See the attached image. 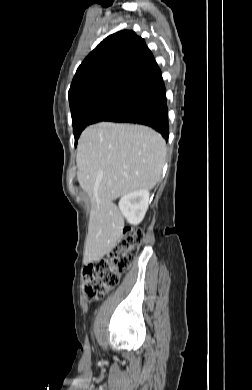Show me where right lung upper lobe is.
<instances>
[{
    "instance_id": "obj_1",
    "label": "right lung upper lobe",
    "mask_w": 252,
    "mask_h": 390,
    "mask_svg": "<svg viewBox=\"0 0 252 390\" xmlns=\"http://www.w3.org/2000/svg\"><path fill=\"white\" fill-rule=\"evenodd\" d=\"M161 83V71L144 39L134 31H119L78 67L68 92L70 109L103 97L137 99Z\"/></svg>"
}]
</instances>
